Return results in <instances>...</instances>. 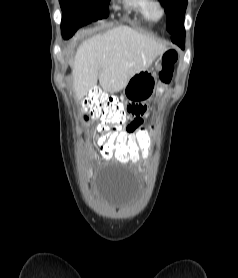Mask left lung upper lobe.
<instances>
[{
	"label": "left lung upper lobe",
	"instance_id": "obj_1",
	"mask_svg": "<svg viewBox=\"0 0 238 278\" xmlns=\"http://www.w3.org/2000/svg\"><path fill=\"white\" fill-rule=\"evenodd\" d=\"M167 13L166 28L169 33L174 32L184 20L187 0H161Z\"/></svg>",
	"mask_w": 238,
	"mask_h": 278
}]
</instances>
